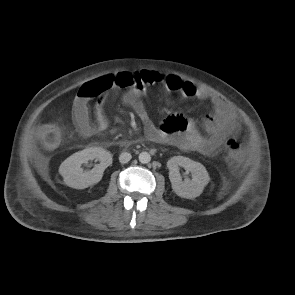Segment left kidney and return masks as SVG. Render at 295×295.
<instances>
[{
	"mask_svg": "<svg viewBox=\"0 0 295 295\" xmlns=\"http://www.w3.org/2000/svg\"><path fill=\"white\" fill-rule=\"evenodd\" d=\"M179 166L191 172L192 180L182 181ZM167 167L172 189L182 198L193 199L199 196L210 180L206 168L201 163L187 157L174 156L168 160Z\"/></svg>",
	"mask_w": 295,
	"mask_h": 295,
	"instance_id": "left-kidney-1",
	"label": "left kidney"
}]
</instances>
